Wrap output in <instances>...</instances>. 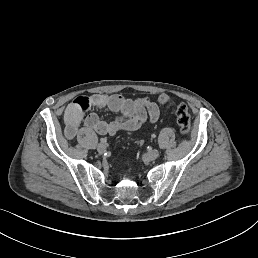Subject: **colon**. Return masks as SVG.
Returning a JSON list of instances; mask_svg holds the SVG:
<instances>
[{
  "mask_svg": "<svg viewBox=\"0 0 258 258\" xmlns=\"http://www.w3.org/2000/svg\"><path fill=\"white\" fill-rule=\"evenodd\" d=\"M159 102L162 105L175 108L176 120L180 132L183 135H188L191 131V116L187 105L183 102L176 103L175 100L167 94L160 95Z\"/></svg>",
  "mask_w": 258,
  "mask_h": 258,
  "instance_id": "5ec220e1",
  "label": "colon"
}]
</instances>
